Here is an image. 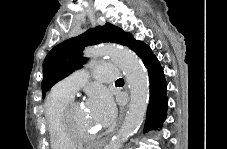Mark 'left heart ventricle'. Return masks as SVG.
Segmentation results:
<instances>
[{"mask_svg": "<svg viewBox=\"0 0 227 149\" xmlns=\"http://www.w3.org/2000/svg\"><path fill=\"white\" fill-rule=\"evenodd\" d=\"M73 126L77 132L85 135L95 134L98 127L93 113L81 106L73 113Z\"/></svg>", "mask_w": 227, "mask_h": 149, "instance_id": "b2bd125f", "label": "left heart ventricle"}]
</instances>
